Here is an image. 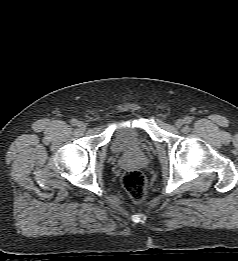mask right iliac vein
Listing matches in <instances>:
<instances>
[{
  "label": "right iliac vein",
  "instance_id": "1",
  "mask_svg": "<svg viewBox=\"0 0 238 261\" xmlns=\"http://www.w3.org/2000/svg\"><path fill=\"white\" fill-rule=\"evenodd\" d=\"M78 127L80 130H85L86 129V124L84 122H79Z\"/></svg>",
  "mask_w": 238,
  "mask_h": 261
}]
</instances>
